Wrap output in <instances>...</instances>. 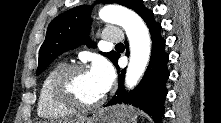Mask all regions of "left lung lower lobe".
Wrapping results in <instances>:
<instances>
[{
	"label": "left lung lower lobe",
	"mask_w": 221,
	"mask_h": 123,
	"mask_svg": "<svg viewBox=\"0 0 221 123\" xmlns=\"http://www.w3.org/2000/svg\"><path fill=\"white\" fill-rule=\"evenodd\" d=\"M138 14L146 22L152 37V52L149 66L139 85L130 92H127L123 87L126 69H123L121 73L118 71L120 73L119 89L106 106L124 103L139 107L152 116L157 123H160V118L164 114L163 104L167 95L166 81L169 78V71L167 70L169 56L164 50L165 40L160 35L161 25L154 21L153 12L142 7ZM126 47L128 49L127 42ZM119 57L120 55L118 54L113 62L117 69H119L117 65Z\"/></svg>",
	"instance_id": "left-lung-lower-lobe-1"
}]
</instances>
